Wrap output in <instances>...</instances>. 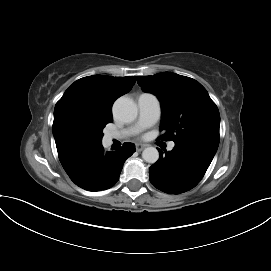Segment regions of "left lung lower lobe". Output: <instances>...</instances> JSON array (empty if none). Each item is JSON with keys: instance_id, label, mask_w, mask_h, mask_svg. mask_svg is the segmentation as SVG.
<instances>
[{"instance_id": "left-lung-lower-lobe-1", "label": "left lung lower lobe", "mask_w": 271, "mask_h": 271, "mask_svg": "<svg viewBox=\"0 0 271 271\" xmlns=\"http://www.w3.org/2000/svg\"><path fill=\"white\" fill-rule=\"evenodd\" d=\"M218 147L193 140L175 142L172 151L159 150L160 158L150 169V182L168 194H180L203 178Z\"/></svg>"}]
</instances>
